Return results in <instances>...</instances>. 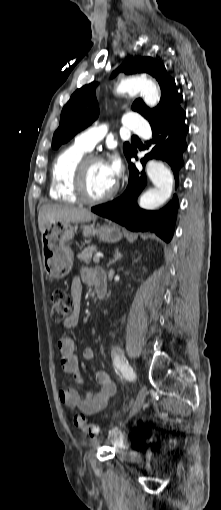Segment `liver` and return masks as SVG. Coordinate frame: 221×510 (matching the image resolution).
Wrapping results in <instances>:
<instances>
[{
  "label": "liver",
  "instance_id": "liver-1",
  "mask_svg": "<svg viewBox=\"0 0 221 510\" xmlns=\"http://www.w3.org/2000/svg\"><path fill=\"white\" fill-rule=\"evenodd\" d=\"M97 216L84 208L69 205L47 204L41 207L38 215L39 230L43 234L45 228L54 221L83 223L96 220Z\"/></svg>",
  "mask_w": 221,
  "mask_h": 510
}]
</instances>
